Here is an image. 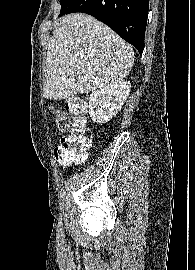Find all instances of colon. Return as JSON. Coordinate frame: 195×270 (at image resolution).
<instances>
[{
  "instance_id": "5ec220e1",
  "label": "colon",
  "mask_w": 195,
  "mask_h": 270,
  "mask_svg": "<svg viewBox=\"0 0 195 270\" xmlns=\"http://www.w3.org/2000/svg\"><path fill=\"white\" fill-rule=\"evenodd\" d=\"M86 103L79 98H71L66 104V111L53 109L55 123L60 132L66 133L60 145L55 148L54 155L62 166L77 163L85 158L89 145L86 131ZM69 114L72 117L71 124Z\"/></svg>"
}]
</instances>
